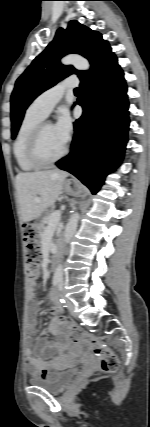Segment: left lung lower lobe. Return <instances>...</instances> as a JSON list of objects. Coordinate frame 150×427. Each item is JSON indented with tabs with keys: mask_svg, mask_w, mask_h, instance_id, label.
<instances>
[{
	"mask_svg": "<svg viewBox=\"0 0 150 427\" xmlns=\"http://www.w3.org/2000/svg\"><path fill=\"white\" fill-rule=\"evenodd\" d=\"M80 89L77 104L83 115L74 122L70 154L56 165L96 194L118 166L114 159H122L129 128L127 86L112 51L81 79Z\"/></svg>",
	"mask_w": 150,
	"mask_h": 427,
	"instance_id": "1",
	"label": "left lung lower lobe"
}]
</instances>
